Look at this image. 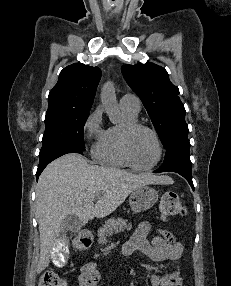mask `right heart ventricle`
<instances>
[{"instance_id":"e07e8e85","label":"right heart ventricle","mask_w":231,"mask_h":286,"mask_svg":"<svg viewBox=\"0 0 231 286\" xmlns=\"http://www.w3.org/2000/svg\"><path fill=\"white\" fill-rule=\"evenodd\" d=\"M124 123L109 127L93 151L94 158L101 164L111 167H128L129 164L122 155L120 147L121 130L125 124L137 122L138 114L122 109Z\"/></svg>"}]
</instances>
